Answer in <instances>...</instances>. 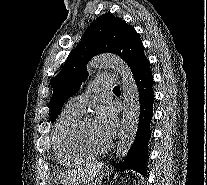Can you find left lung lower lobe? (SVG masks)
Masks as SVG:
<instances>
[{
	"label": "left lung lower lobe",
	"mask_w": 207,
	"mask_h": 185,
	"mask_svg": "<svg viewBox=\"0 0 207 185\" xmlns=\"http://www.w3.org/2000/svg\"><path fill=\"white\" fill-rule=\"evenodd\" d=\"M140 97V115L137 134L134 143L124 161L120 163L121 170L132 169L143 177L147 176L148 142L151 137L150 123L153 116V77L150 67L138 72L135 76Z\"/></svg>",
	"instance_id": "obj_1"
}]
</instances>
